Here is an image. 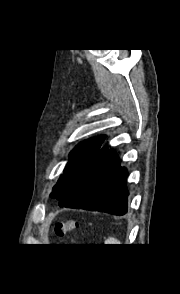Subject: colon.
<instances>
[{"mask_svg":"<svg viewBox=\"0 0 180 294\" xmlns=\"http://www.w3.org/2000/svg\"><path fill=\"white\" fill-rule=\"evenodd\" d=\"M78 224L77 222L73 220H62L56 223L55 225V234L57 236H63L66 233L74 230L77 228Z\"/></svg>","mask_w":180,"mask_h":294,"instance_id":"1","label":"colon"}]
</instances>
